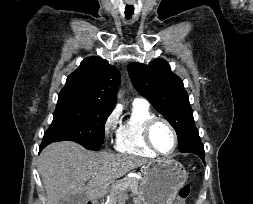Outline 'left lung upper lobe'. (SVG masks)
<instances>
[{
    "label": "left lung upper lobe",
    "mask_w": 253,
    "mask_h": 204,
    "mask_svg": "<svg viewBox=\"0 0 253 204\" xmlns=\"http://www.w3.org/2000/svg\"><path fill=\"white\" fill-rule=\"evenodd\" d=\"M129 75L135 89L146 97L175 129L178 148L191 144L190 136L196 128L189 97L183 81L171 72L169 64L159 58L148 65L131 63Z\"/></svg>",
    "instance_id": "obj_1"
}]
</instances>
